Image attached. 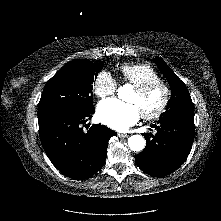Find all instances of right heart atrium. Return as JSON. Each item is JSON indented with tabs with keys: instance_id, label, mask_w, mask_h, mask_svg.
<instances>
[{
	"instance_id": "d8ad5b80",
	"label": "right heart atrium",
	"mask_w": 221,
	"mask_h": 221,
	"mask_svg": "<svg viewBox=\"0 0 221 221\" xmlns=\"http://www.w3.org/2000/svg\"><path fill=\"white\" fill-rule=\"evenodd\" d=\"M116 89L117 81L108 71H101L97 74L93 83V90L96 96L105 98L114 94Z\"/></svg>"
}]
</instances>
